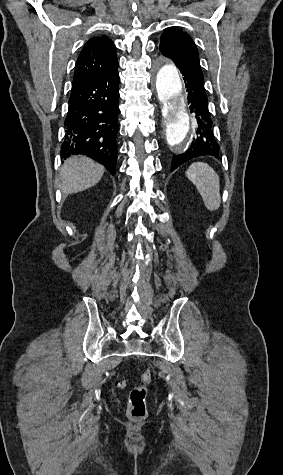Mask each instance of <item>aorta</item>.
<instances>
[{"label":"aorta","mask_w":283,"mask_h":475,"mask_svg":"<svg viewBox=\"0 0 283 475\" xmlns=\"http://www.w3.org/2000/svg\"><path fill=\"white\" fill-rule=\"evenodd\" d=\"M164 116L163 141L176 154L185 153L192 142L193 126L183 95L182 81L174 64H159L155 79Z\"/></svg>","instance_id":"762f6f07"}]
</instances>
